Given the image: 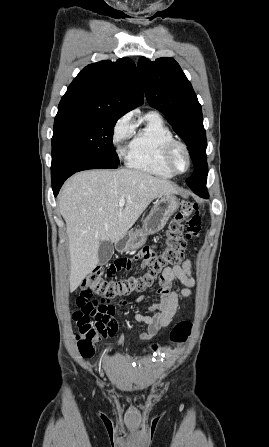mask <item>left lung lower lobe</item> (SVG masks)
<instances>
[{"label": "left lung lower lobe", "instance_id": "obj_1", "mask_svg": "<svg viewBox=\"0 0 269 447\" xmlns=\"http://www.w3.org/2000/svg\"><path fill=\"white\" fill-rule=\"evenodd\" d=\"M192 190L201 197H205V198L209 197L208 192L205 187H195Z\"/></svg>", "mask_w": 269, "mask_h": 447}]
</instances>
